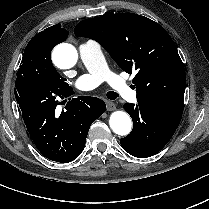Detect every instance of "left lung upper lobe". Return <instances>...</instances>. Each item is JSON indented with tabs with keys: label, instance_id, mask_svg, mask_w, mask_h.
Segmentation results:
<instances>
[{
	"label": "left lung upper lobe",
	"instance_id": "1",
	"mask_svg": "<svg viewBox=\"0 0 209 209\" xmlns=\"http://www.w3.org/2000/svg\"><path fill=\"white\" fill-rule=\"evenodd\" d=\"M74 33L96 40L132 80L137 101L182 115L186 75L170 35L156 22L134 13H116L79 22Z\"/></svg>",
	"mask_w": 209,
	"mask_h": 209
}]
</instances>
